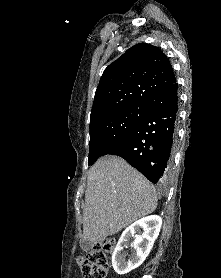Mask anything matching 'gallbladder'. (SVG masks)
I'll list each match as a JSON object with an SVG mask.
<instances>
[{"instance_id":"1","label":"gallbladder","mask_w":221,"mask_h":278,"mask_svg":"<svg viewBox=\"0 0 221 278\" xmlns=\"http://www.w3.org/2000/svg\"><path fill=\"white\" fill-rule=\"evenodd\" d=\"M91 247V244L89 241H82L81 242V248L84 250V251H88Z\"/></svg>"}]
</instances>
